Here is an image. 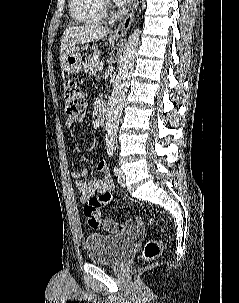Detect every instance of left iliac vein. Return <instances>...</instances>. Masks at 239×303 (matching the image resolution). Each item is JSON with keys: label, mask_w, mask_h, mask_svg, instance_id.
<instances>
[{"label": "left iliac vein", "mask_w": 239, "mask_h": 303, "mask_svg": "<svg viewBox=\"0 0 239 303\" xmlns=\"http://www.w3.org/2000/svg\"><path fill=\"white\" fill-rule=\"evenodd\" d=\"M116 175H117L118 183L120 184V186L125 187L126 182H125L124 171L121 168H118Z\"/></svg>", "instance_id": "left-iliac-vein-1"}]
</instances>
